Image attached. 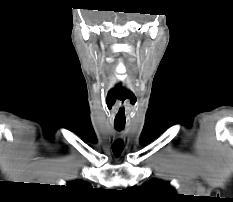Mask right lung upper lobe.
I'll use <instances>...</instances> for the list:
<instances>
[{
  "label": "right lung upper lobe",
  "instance_id": "right-lung-upper-lobe-1",
  "mask_svg": "<svg viewBox=\"0 0 233 202\" xmlns=\"http://www.w3.org/2000/svg\"><path fill=\"white\" fill-rule=\"evenodd\" d=\"M69 186H86L87 184L82 181H74L68 183Z\"/></svg>",
  "mask_w": 233,
  "mask_h": 202
}]
</instances>
